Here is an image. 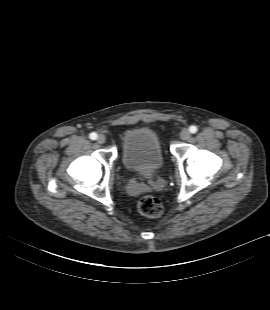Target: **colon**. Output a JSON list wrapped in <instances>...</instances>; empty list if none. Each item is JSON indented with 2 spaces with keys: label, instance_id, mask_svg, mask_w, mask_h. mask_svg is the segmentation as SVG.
<instances>
[{
  "label": "colon",
  "instance_id": "5ec220e1",
  "mask_svg": "<svg viewBox=\"0 0 270 310\" xmlns=\"http://www.w3.org/2000/svg\"><path fill=\"white\" fill-rule=\"evenodd\" d=\"M139 212L147 217L156 218L161 216L163 206L159 199L154 196H144L138 201Z\"/></svg>",
  "mask_w": 270,
  "mask_h": 310
}]
</instances>
